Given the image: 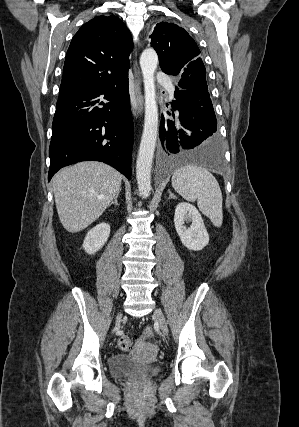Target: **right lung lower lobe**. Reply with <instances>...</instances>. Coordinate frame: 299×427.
<instances>
[{
  "label": "right lung lower lobe",
  "instance_id": "obj_1",
  "mask_svg": "<svg viewBox=\"0 0 299 427\" xmlns=\"http://www.w3.org/2000/svg\"><path fill=\"white\" fill-rule=\"evenodd\" d=\"M133 135L128 71L59 98L52 125L48 180L60 168L86 160L105 162L130 179Z\"/></svg>",
  "mask_w": 299,
  "mask_h": 427
}]
</instances>
